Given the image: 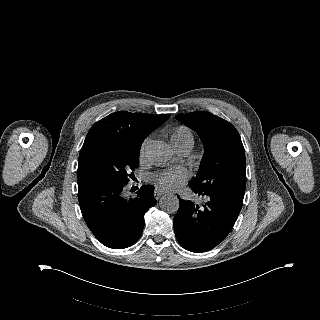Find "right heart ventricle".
Returning <instances> with one entry per match:
<instances>
[{
    "label": "right heart ventricle",
    "mask_w": 320,
    "mask_h": 320,
    "mask_svg": "<svg viewBox=\"0 0 320 320\" xmlns=\"http://www.w3.org/2000/svg\"><path fill=\"white\" fill-rule=\"evenodd\" d=\"M194 135L186 126H176L171 129L170 141L172 145H187L191 148L194 144Z\"/></svg>",
    "instance_id": "right-heart-ventricle-1"
}]
</instances>
